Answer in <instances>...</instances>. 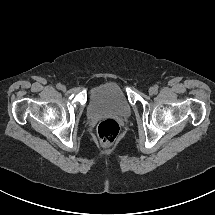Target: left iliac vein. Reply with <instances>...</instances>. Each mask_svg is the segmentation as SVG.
I'll list each match as a JSON object with an SVG mask.
<instances>
[{
  "instance_id": "obj_1",
  "label": "left iliac vein",
  "mask_w": 215,
  "mask_h": 215,
  "mask_svg": "<svg viewBox=\"0 0 215 215\" xmlns=\"http://www.w3.org/2000/svg\"><path fill=\"white\" fill-rule=\"evenodd\" d=\"M156 92H157V91H156L155 87H150V88H149V94H150V95H154Z\"/></svg>"
}]
</instances>
